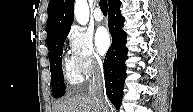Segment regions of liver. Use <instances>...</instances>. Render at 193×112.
<instances>
[{"label": "liver", "mask_w": 193, "mask_h": 112, "mask_svg": "<svg viewBox=\"0 0 193 112\" xmlns=\"http://www.w3.org/2000/svg\"><path fill=\"white\" fill-rule=\"evenodd\" d=\"M53 112H101L96 96L83 93L55 103Z\"/></svg>", "instance_id": "1"}]
</instances>
